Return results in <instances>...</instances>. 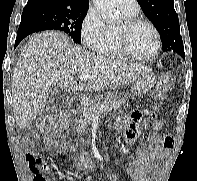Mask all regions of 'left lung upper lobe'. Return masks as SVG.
Here are the masks:
<instances>
[{
  "instance_id": "5c2ea615",
  "label": "left lung upper lobe",
  "mask_w": 197,
  "mask_h": 181,
  "mask_svg": "<svg viewBox=\"0 0 197 181\" xmlns=\"http://www.w3.org/2000/svg\"><path fill=\"white\" fill-rule=\"evenodd\" d=\"M146 17L158 30L164 51H174L185 58L174 0H137Z\"/></svg>"
}]
</instances>
